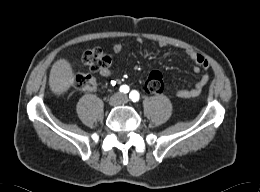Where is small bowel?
Returning <instances> with one entry per match:
<instances>
[{
	"instance_id": "1",
	"label": "small bowel",
	"mask_w": 260,
	"mask_h": 192,
	"mask_svg": "<svg viewBox=\"0 0 260 192\" xmlns=\"http://www.w3.org/2000/svg\"><path fill=\"white\" fill-rule=\"evenodd\" d=\"M138 42H141V40L139 39ZM161 45L164 46L165 44H161ZM112 50L114 53L119 54L125 50V47L121 43H116L113 45ZM187 55L190 58V60L193 62L192 70L194 73L198 74L201 71H205L209 69L210 64L208 60L201 54H198L194 51H188ZM99 73L100 75L107 77L110 75V70L108 68H105L99 71ZM209 80H210V76L208 74H205L191 88L177 90L176 96L183 99L195 98L202 93L203 88L208 84Z\"/></svg>"
}]
</instances>
